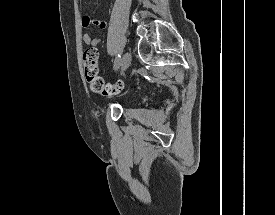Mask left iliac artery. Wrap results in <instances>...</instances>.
Segmentation results:
<instances>
[{
    "label": "left iliac artery",
    "instance_id": "44dca946",
    "mask_svg": "<svg viewBox=\"0 0 275 215\" xmlns=\"http://www.w3.org/2000/svg\"><path fill=\"white\" fill-rule=\"evenodd\" d=\"M120 65V55H117L115 61H114V70H117Z\"/></svg>",
    "mask_w": 275,
    "mask_h": 215
}]
</instances>
